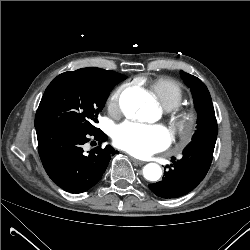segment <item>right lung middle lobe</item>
Returning a JSON list of instances; mask_svg holds the SVG:
<instances>
[{"label":"right lung middle lobe","instance_id":"obj_1","mask_svg":"<svg viewBox=\"0 0 250 250\" xmlns=\"http://www.w3.org/2000/svg\"><path fill=\"white\" fill-rule=\"evenodd\" d=\"M127 77L114 71H70L46 88L35 116L40 125L67 126L99 131L95 127L110 91Z\"/></svg>","mask_w":250,"mask_h":250}]
</instances>
